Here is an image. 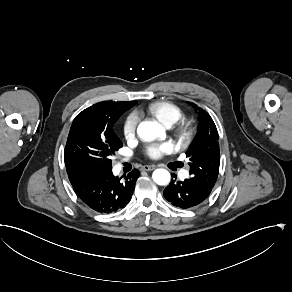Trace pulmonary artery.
I'll list each match as a JSON object with an SVG mask.
<instances>
[{
    "label": "pulmonary artery",
    "instance_id": "obj_1",
    "mask_svg": "<svg viewBox=\"0 0 292 292\" xmlns=\"http://www.w3.org/2000/svg\"><path fill=\"white\" fill-rule=\"evenodd\" d=\"M165 127H166L167 129H170V128L172 127V125H171V124H167V125H165ZM122 161H126V159H122ZM188 175H189V171L186 170V171L183 173V177H187Z\"/></svg>",
    "mask_w": 292,
    "mask_h": 292
}]
</instances>
